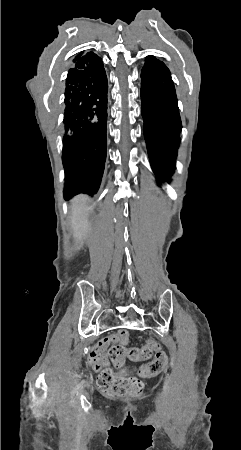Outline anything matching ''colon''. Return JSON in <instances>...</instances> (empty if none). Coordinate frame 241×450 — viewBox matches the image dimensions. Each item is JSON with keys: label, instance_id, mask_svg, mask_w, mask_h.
Listing matches in <instances>:
<instances>
[{"label": "colon", "instance_id": "5ec220e1", "mask_svg": "<svg viewBox=\"0 0 241 450\" xmlns=\"http://www.w3.org/2000/svg\"><path fill=\"white\" fill-rule=\"evenodd\" d=\"M153 354L156 355L155 358L143 370L144 374L148 377L157 375L166 365V353L161 349L157 341L151 340L141 348H126L122 345H115L109 351V355L117 368L121 366L125 358H129L130 360H147ZM120 372L123 374L125 371L122 369ZM96 384L103 396L108 399L139 396L143 391V383L141 381L112 371L106 373L100 371Z\"/></svg>", "mask_w": 241, "mask_h": 450}]
</instances>
